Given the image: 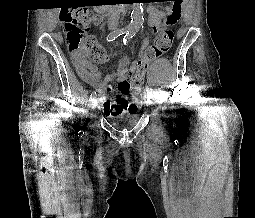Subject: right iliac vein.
<instances>
[{
  "mask_svg": "<svg viewBox=\"0 0 255 218\" xmlns=\"http://www.w3.org/2000/svg\"><path fill=\"white\" fill-rule=\"evenodd\" d=\"M92 105H93V106H96V105H97V100H96V98H94V99L92 100Z\"/></svg>",
  "mask_w": 255,
  "mask_h": 218,
  "instance_id": "obj_1",
  "label": "right iliac vein"
}]
</instances>
